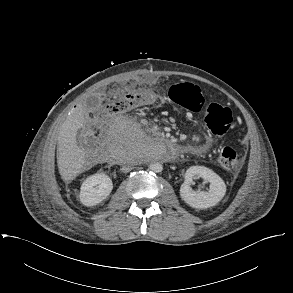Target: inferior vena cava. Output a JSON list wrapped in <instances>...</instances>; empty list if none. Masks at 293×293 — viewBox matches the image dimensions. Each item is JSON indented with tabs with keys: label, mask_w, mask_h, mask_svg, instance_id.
<instances>
[{
	"label": "inferior vena cava",
	"mask_w": 293,
	"mask_h": 293,
	"mask_svg": "<svg viewBox=\"0 0 293 293\" xmlns=\"http://www.w3.org/2000/svg\"><path fill=\"white\" fill-rule=\"evenodd\" d=\"M133 163L134 162H130V163H127L126 165H124L122 168H121V171L122 172H129L133 169Z\"/></svg>",
	"instance_id": "1"
}]
</instances>
